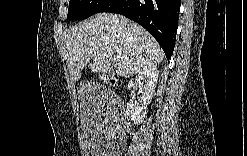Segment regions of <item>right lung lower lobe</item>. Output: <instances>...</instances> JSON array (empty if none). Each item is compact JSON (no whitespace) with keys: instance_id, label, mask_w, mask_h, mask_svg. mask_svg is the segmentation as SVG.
Returning <instances> with one entry per match:
<instances>
[{"instance_id":"1","label":"right lung lower lobe","mask_w":247,"mask_h":156,"mask_svg":"<svg viewBox=\"0 0 247 156\" xmlns=\"http://www.w3.org/2000/svg\"><path fill=\"white\" fill-rule=\"evenodd\" d=\"M180 5V0H107L98 12L121 14L137 22L149 31L170 59L176 40Z\"/></svg>"}]
</instances>
